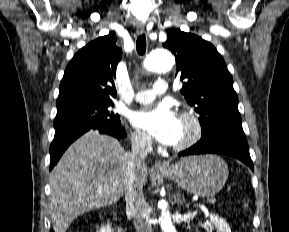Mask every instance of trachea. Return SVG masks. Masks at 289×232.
Masks as SVG:
<instances>
[{
    "label": "trachea",
    "mask_w": 289,
    "mask_h": 232,
    "mask_svg": "<svg viewBox=\"0 0 289 232\" xmlns=\"http://www.w3.org/2000/svg\"><path fill=\"white\" fill-rule=\"evenodd\" d=\"M136 49L139 55H144L146 52V37L144 34L140 35L136 41Z\"/></svg>",
    "instance_id": "trachea-1"
}]
</instances>
